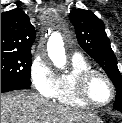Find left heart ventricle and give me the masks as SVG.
<instances>
[{"label": "left heart ventricle", "mask_w": 122, "mask_h": 123, "mask_svg": "<svg viewBox=\"0 0 122 123\" xmlns=\"http://www.w3.org/2000/svg\"><path fill=\"white\" fill-rule=\"evenodd\" d=\"M90 97L96 102H106L111 96L108 83L100 77L95 78L89 87Z\"/></svg>", "instance_id": "b2bd125f"}]
</instances>
